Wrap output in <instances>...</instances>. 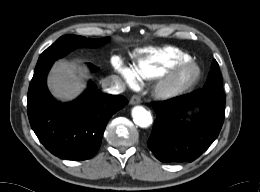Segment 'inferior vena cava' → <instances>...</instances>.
Listing matches in <instances>:
<instances>
[{
	"mask_svg": "<svg viewBox=\"0 0 260 192\" xmlns=\"http://www.w3.org/2000/svg\"><path fill=\"white\" fill-rule=\"evenodd\" d=\"M102 88L109 94H120L125 91V83L118 77L111 75L102 81Z\"/></svg>",
	"mask_w": 260,
	"mask_h": 192,
	"instance_id": "1",
	"label": "inferior vena cava"
}]
</instances>
